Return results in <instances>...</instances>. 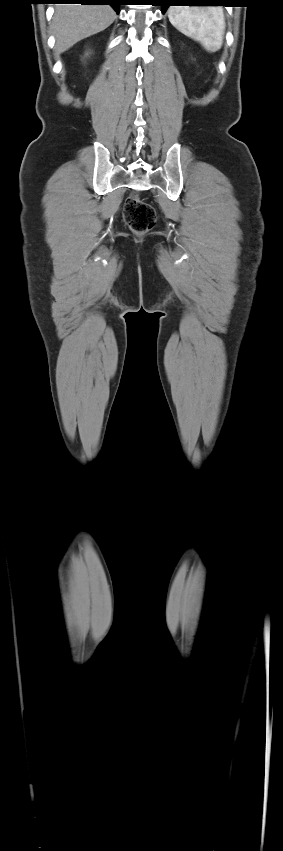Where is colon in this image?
Wrapping results in <instances>:
<instances>
[{
    "label": "colon",
    "mask_w": 283,
    "mask_h": 851,
    "mask_svg": "<svg viewBox=\"0 0 283 851\" xmlns=\"http://www.w3.org/2000/svg\"><path fill=\"white\" fill-rule=\"evenodd\" d=\"M123 218L134 233L143 234L155 226L157 215L150 204L141 200L136 193H132L125 202Z\"/></svg>",
    "instance_id": "colon-1"
}]
</instances>
